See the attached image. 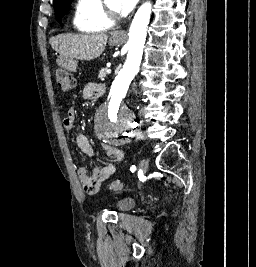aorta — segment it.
I'll list each match as a JSON object with an SVG mask.
<instances>
[{
	"instance_id": "762f6f07",
	"label": "aorta",
	"mask_w": 256,
	"mask_h": 267,
	"mask_svg": "<svg viewBox=\"0 0 256 267\" xmlns=\"http://www.w3.org/2000/svg\"><path fill=\"white\" fill-rule=\"evenodd\" d=\"M151 12V2H144L132 20L126 44L127 58L121 72L116 75V81H113L111 92L107 95L108 101H103L101 108H96L95 127H130V122H134V117H130L131 108L120 103L126 94L128 83H131L132 77L140 68ZM92 133H95V138H106V143H131V138H121L125 128H92Z\"/></svg>"
}]
</instances>
